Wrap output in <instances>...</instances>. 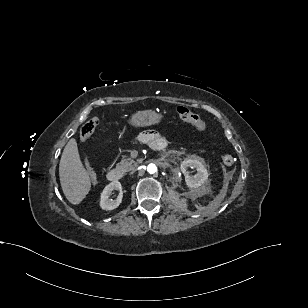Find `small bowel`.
Returning <instances> with one entry per match:
<instances>
[{
	"label": "small bowel",
	"mask_w": 308,
	"mask_h": 308,
	"mask_svg": "<svg viewBox=\"0 0 308 308\" xmlns=\"http://www.w3.org/2000/svg\"><path fill=\"white\" fill-rule=\"evenodd\" d=\"M138 138H139L140 142L148 144L150 146L153 145L155 140H162L165 143V141L161 138L159 133L155 130L144 131V132L140 133Z\"/></svg>",
	"instance_id": "small-bowel-1"
}]
</instances>
